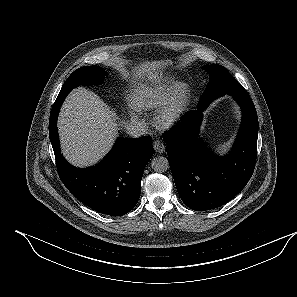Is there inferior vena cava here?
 Segmentation results:
<instances>
[{"label": "inferior vena cava", "instance_id": "inferior-vena-cava-1", "mask_svg": "<svg viewBox=\"0 0 297 297\" xmlns=\"http://www.w3.org/2000/svg\"><path fill=\"white\" fill-rule=\"evenodd\" d=\"M127 133L132 137H140L146 132V124L142 121L132 120L126 125Z\"/></svg>", "mask_w": 297, "mask_h": 297}]
</instances>
